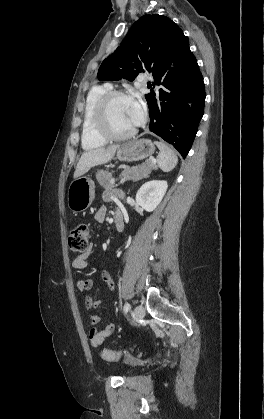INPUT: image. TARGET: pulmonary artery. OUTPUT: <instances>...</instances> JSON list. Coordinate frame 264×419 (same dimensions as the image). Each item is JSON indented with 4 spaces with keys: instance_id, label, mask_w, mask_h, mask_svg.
Masks as SVG:
<instances>
[{
    "instance_id": "1",
    "label": "pulmonary artery",
    "mask_w": 264,
    "mask_h": 419,
    "mask_svg": "<svg viewBox=\"0 0 264 419\" xmlns=\"http://www.w3.org/2000/svg\"><path fill=\"white\" fill-rule=\"evenodd\" d=\"M145 79L148 80V81H153L154 80L152 75H146Z\"/></svg>"
}]
</instances>
